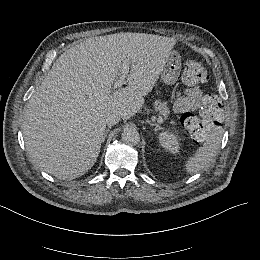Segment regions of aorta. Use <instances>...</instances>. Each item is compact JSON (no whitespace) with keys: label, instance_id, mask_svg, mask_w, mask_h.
Instances as JSON below:
<instances>
[{"label":"aorta","instance_id":"762f6f07","mask_svg":"<svg viewBox=\"0 0 260 260\" xmlns=\"http://www.w3.org/2000/svg\"><path fill=\"white\" fill-rule=\"evenodd\" d=\"M122 140L130 145H136L140 141L139 132L134 127H126L122 133Z\"/></svg>","mask_w":260,"mask_h":260}]
</instances>
